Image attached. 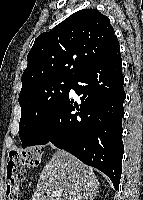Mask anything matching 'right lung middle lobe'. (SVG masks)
Segmentation results:
<instances>
[{
    "instance_id": "obj_1",
    "label": "right lung middle lobe",
    "mask_w": 143,
    "mask_h": 200,
    "mask_svg": "<svg viewBox=\"0 0 143 200\" xmlns=\"http://www.w3.org/2000/svg\"><path fill=\"white\" fill-rule=\"evenodd\" d=\"M72 81L51 79L21 90L19 136L23 148L29 145L39 128L66 97Z\"/></svg>"
}]
</instances>
